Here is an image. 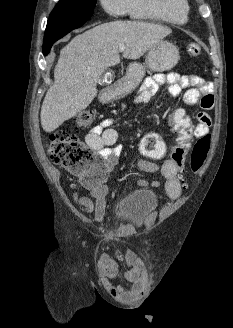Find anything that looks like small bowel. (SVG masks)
<instances>
[{"instance_id": "1", "label": "small bowel", "mask_w": 233, "mask_h": 328, "mask_svg": "<svg viewBox=\"0 0 233 328\" xmlns=\"http://www.w3.org/2000/svg\"><path fill=\"white\" fill-rule=\"evenodd\" d=\"M166 87L171 96L175 97L185 90L184 101L188 105L199 103L203 110H210L214 105L213 84L210 81L196 75H179L177 73L156 74L147 79L141 92L136 98L137 102H148L154 98L160 88ZM197 123L194 125L193 135L196 138L208 135L211 119L205 111L197 114ZM111 118L103 119L93 127L85 136L86 145L104 160V170L110 173L114 170L120 153L116 146L118 133L112 127ZM138 167L145 172H157L164 178V189L167 196L176 199L182 191L181 170L171 159H166L161 165L141 159ZM138 184L147 185V181L140 179ZM152 186H160V182H152ZM87 195L74 193L73 199L83 212H93L95 219L101 221L106 209L107 185L100 182L88 185ZM125 261L128 270L124 273V279L129 287L116 285L112 280L118 275L117 263L107 254H102L99 259V270L102 277V285L115 299L122 302H132L140 299L147 290L148 275L144 263L140 257L131 251L125 252Z\"/></svg>"}]
</instances>
